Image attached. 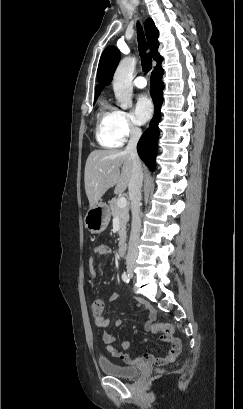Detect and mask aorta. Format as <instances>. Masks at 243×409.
I'll list each match as a JSON object with an SVG mask.
<instances>
[{
  "label": "aorta",
  "mask_w": 243,
  "mask_h": 409,
  "mask_svg": "<svg viewBox=\"0 0 243 409\" xmlns=\"http://www.w3.org/2000/svg\"><path fill=\"white\" fill-rule=\"evenodd\" d=\"M135 65V58H124L114 73L113 89L117 103L122 109L132 106V79Z\"/></svg>",
  "instance_id": "obj_1"
}]
</instances>
